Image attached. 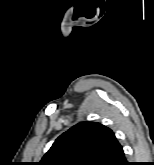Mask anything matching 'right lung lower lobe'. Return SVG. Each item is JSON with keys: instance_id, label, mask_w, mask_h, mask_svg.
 <instances>
[{"instance_id": "obj_1", "label": "right lung lower lobe", "mask_w": 154, "mask_h": 165, "mask_svg": "<svg viewBox=\"0 0 154 165\" xmlns=\"http://www.w3.org/2000/svg\"><path fill=\"white\" fill-rule=\"evenodd\" d=\"M110 165H129V163L125 159L124 152L121 145H120L119 152L116 154V156L114 157Z\"/></svg>"}]
</instances>
